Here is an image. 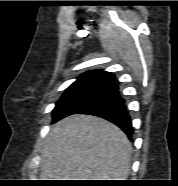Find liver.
I'll return each instance as SVG.
<instances>
[{
    "instance_id": "1",
    "label": "liver",
    "mask_w": 178,
    "mask_h": 186,
    "mask_svg": "<svg viewBox=\"0 0 178 186\" xmlns=\"http://www.w3.org/2000/svg\"><path fill=\"white\" fill-rule=\"evenodd\" d=\"M131 143L114 124L72 115L53 125L41 155V180H126Z\"/></svg>"
}]
</instances>
